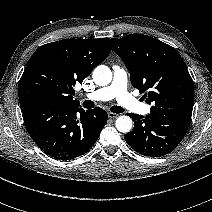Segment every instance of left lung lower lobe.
<instances>
[{
  "label": "left lung lower lobe",
  "instance_id": "obj_1",
  "mask_svg": "<svg viewBox=\"0 0 212 212\" xmlns=\"http://www.w3.org/2000/svg\"><path fill=\"white\" fill-rule=\"evenodd\" d=\"M128 115L134 121L133 130L124 135L128 145L142 155L160 157L173 151L181 142L189 127L192 110L151 107V113L146 117Z\"/></svg>",
  "mask_w": 212,
  "mask_h": 212
}]
</instances>
